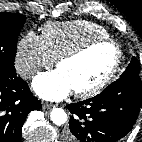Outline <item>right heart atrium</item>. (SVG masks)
Instances as JSON below:
<instances>
[{"mask_svg":"<svg viewBox=\"0 0 142 142\" xmlns=\"http://www.w3.org/2000/svg\"><path fill=\"white\" fill-rule=\"evenodd\" d=\"M54 59L46 49L41 36L28 32L17 43L15 68L23 79H30L41 68H49Z\"/></svg>","mask_w":142,"mask_h":142,"instance_id":"obj_1","label":"right heart atrium"}]
</instances>
